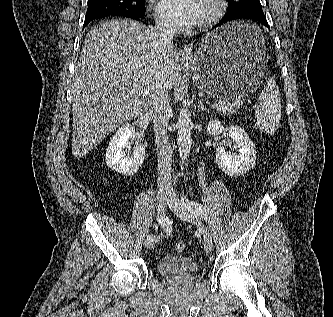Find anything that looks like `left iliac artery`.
Listing matches in <instances>:
<instances>
[{"label":"left iliac artery","mask_w":333,"mask_h":317,"mask_svg":"<svg viewBox=\"0 0 333 317\" xmlns=\"http://www.w3.org/2000/svg\"><path fill=\"white\" fill-rule=\"evenodd\" d=\"M181 200L189 208V210L191 212H193L194 214L198 215L201 218L202 217L203 218L206 217L207 210H206V208L203 205H201V204H199V203H197L195 201H190V200H188L186 198H182Z\"/></svg>","instance_id":"left-iliac-artery-1"}]
</instances>
